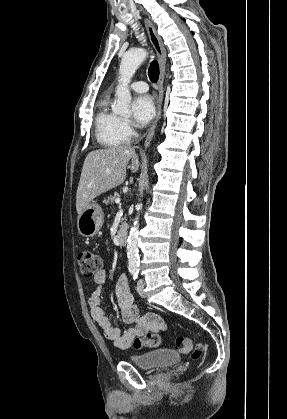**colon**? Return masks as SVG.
Here are the masks:
<instances>
[{"instance_id": "colon-1", "label": "colon", "mask_w": 287, "mask_h": 419, "mask_svg": "<svg viewBox=\"0 0 287 419\" xmlns=\"http://www.w3.org/2000/svg\"><path fill=\"white\" fill-rule=\"evenodd\" d=\"M78 262L82 274L86 277L95 275L102 267L101 258L90 250L81 251L78 255ZM175 343L179 352L190 354L192 359H198L203 353V346L201 344H193L188 337L178 336ZM159 345L160 337L156 334L147 333L134 339L131 347L133 349H141L142 347L156 348Z\"/></svg>"}]
</instances>
